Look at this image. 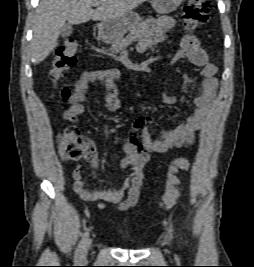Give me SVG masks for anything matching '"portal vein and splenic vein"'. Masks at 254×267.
Here are the masks:
<instances>
[{
	"mask_svg": "<svg viewBox=\"0 0 254 267\" xmlns=\"http://www.w3.org/2000/svg\"><path fill=\"white\" fill-rule=\"evenodd\" d=\"M94 6L98 7V6H99V4H98V3H95V4H94Z\"/></svg>",
	"mask_w": 254,
	"mask_h": 267,
	"instance_id": "portal-vein-and-splenic-vein-1",
	"label": "portal vein and splenic vein"
}]
</instances>
